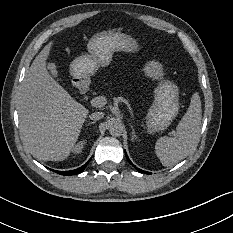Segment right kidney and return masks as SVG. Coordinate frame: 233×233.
<instances>
[{
    "label": "right kidney",
    "instance_id": "1",
    "mask_svg": "<svg viewBox=\"0 0 233 233\" xmlns=\"http://www.w3.org/2000/svg\"><path fill=\"white\" fill-rule=\"evenodd\" d=\"M87 143V140H81L72 147V152L74 154H79L82 152L84 145Z\"/></svg>",
    "mask_w": 233,
    "mask_h": 233
}]
</instances>
